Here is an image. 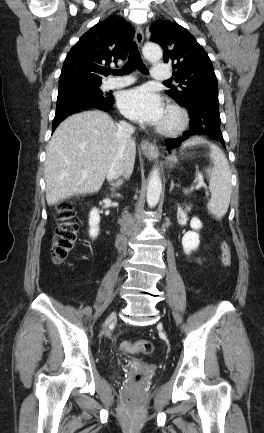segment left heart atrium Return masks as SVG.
<instances>
[{
  "label": "left heart atrium",
  "instance_id": "39dd6f15",
  "mask_svg": "<svg viewBox=\"0 0 264 433\" xmlns=\"http://www.w3.org/2000/svg\"><path fill=\"white\" fill-rule=\"evenodd\" d=\"M121 112L129 119L145 124H159L165 117L161 97L146 86L124 91L118 98Z\"/></svg>",
  "mask_w": 264,
  "mask_h": 433
}]
</instances>
